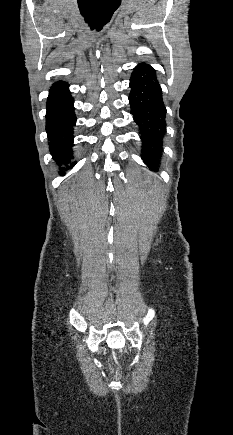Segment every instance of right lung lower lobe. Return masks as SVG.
<instances>
[{"instance_id":"1","label":"right lung lower lobe","mask_w":233,"mask_h":435,"mask_svg":"<svg viewBox=\"0 0 233 435\" xmlns=\"http://www.w3.org/2000/svg\"><path fill=\"white\" fill-rule=\"evenodd\" d=\"M73 104L68 84L63 81L54 83L47 100L46 131L50 152L59 165H67L72 158L73 126L76 124ZM75 164L73 162L67 168Z\"/></svg>"}]
</instances>
